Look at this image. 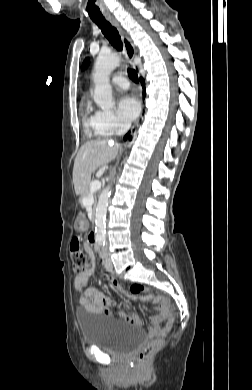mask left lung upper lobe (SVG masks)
Here are the masks:
<instances>
[{
	"label": "left lung upper lobe",
	"mask_w": 252,
	"mask_h": 390,
	"mask_svg": "<svg viewBox=\"0 0 252 390\" xmlns=\"http://www.w3.org/2000/svg\"><path fill=\"white\" fill-rule=\"evenodd\" d=\"M87 60L83 63L82 69H85L87 67Z\"/></svg>",
	"instance_id": "5c2ea615"
}]
</instances>
